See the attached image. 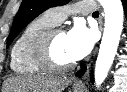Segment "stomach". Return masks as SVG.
<instances>
[{
	"mask_svg": "<svg viewBox=\"0 0 127 92\" xmlns=\"http://www.w3.org/2000/svg\"><path fill=\"white\" fill-rule=\"evenodd\" d=\"M74 92H84V89L83 88H81V89H74Z\"/></svg>",
	"mask_w": 127,
	"mask_h": 92,
	"instance_id": "obj_1",
	"label": "stomach"
}]
</instances>
